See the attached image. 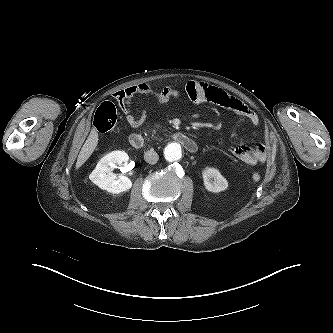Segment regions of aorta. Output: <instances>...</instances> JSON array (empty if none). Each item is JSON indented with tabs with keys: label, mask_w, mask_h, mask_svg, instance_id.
<instances>
[{
	"label": "aorta",
	"mask_w": 333,
	"mask_h": 333,
	"mask_svg": "<svg viewBox=\"0 0 333 333\" xmlns=\"http://www.w3.org/2000/svg\"><path fill=\"white\" fill-rule=\"evenodd\" d=\"M164 155L165 159L170 162L180 160L182 157L181 145L177 142L168 144L164 150Z\"/></svg>",
	"instance_id": "1"
}]
</instances>
